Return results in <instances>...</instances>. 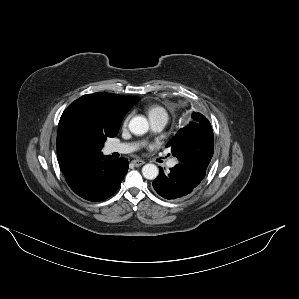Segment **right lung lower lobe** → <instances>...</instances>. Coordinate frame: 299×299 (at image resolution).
<instances>
[{
  "instance_id": "98d812e1",
  "label": "right lung lower lobe",
  "mask_w": 299,
  "mask_h": 299,
  "mask_svg": "<svg viewBox=\"0 0 299 299\" xmlns=\"http://www.w3.org/2000/svg\"><path fill=\"white\" fill-rule=\"evenodd\" d=\"M129 163L125 158L110 155L89 159L74 175L67 177L70 188L89 201L107 199L121 184Z\"/></svg>"
}]
</instances>
